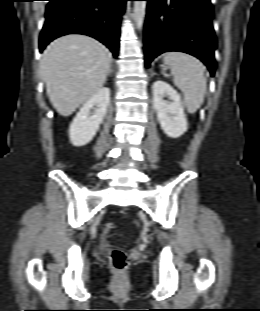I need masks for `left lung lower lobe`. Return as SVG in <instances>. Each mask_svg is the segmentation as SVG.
I'll use <instances>...</instances> for the list:
<instances>
[{"label": "left lung lower lobe", "instance_id": "0a47b994", "mask_svg": "<svg viewBox=\"0 0 260 311\" xmlns=\"http://www.w3.org/2000/svg\"><path fill=\"white\" fill-rule=\"evenodd\" d=\"M145 1L146 67L163 52L179 51L199 58L214 76L216 39L210 0Z\"/></svg>", "mask_w": 260, "mask_h": 311}]
</instances>
